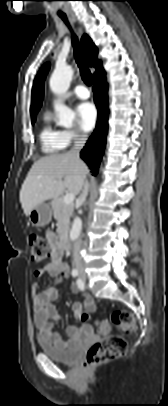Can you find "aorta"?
Here are the masks:
<instances>
[{
	"label": "aorta",
	"instance_id": "1",
	"mask_svg": "<svg viewBox=\"0 0 168 406\" xmlns=\"http://www.w3.org/2000/svg\"><path fill=\"white\" fill-rule=\"evenodd\" d=\"M73 77V69L69 65H57L54 72L51 75L49 84L52 92L56 95H62L65 93L71 83ZM55 112L57 113L58 125L70 128L73 125L75 119V113L70 108L61 103H55ZM82 229V221L79 217H76L73 221L70 231L71 241H75Z\"/></svg>",
	"mask_w": 168,
	"mask_h": 406
}]
</instances>
